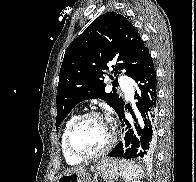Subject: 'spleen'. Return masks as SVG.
Listing matches in <instances>:
<instances>
[{"label": "spleen", "instance_id": "3e777b00", "mask_svg": "<svg viewBox=\"0 0 196 182\" xmlns=\"http://www.w3.org/2000/svg\"><path fill=\"white\" fill-rule=\"evenodd\" d=\"M119 168L121 176L127 181L142 177L143 174V171L138 165L124 159L119 161Z\"/></svg>", "mask_w": 196, "mask_h": 182}]
</instances>
